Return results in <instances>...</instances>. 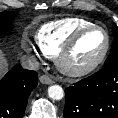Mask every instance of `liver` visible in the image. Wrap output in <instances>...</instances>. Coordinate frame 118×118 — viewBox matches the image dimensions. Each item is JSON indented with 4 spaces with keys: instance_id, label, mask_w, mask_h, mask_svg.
I'll return each instance as SVG.
<instances>
[{
    "instance_id": "1",
    "label": "liver",
    "mask_w": 118,
    "mask_h": 118,
    "mask_svg": "<svg viewBox=\"0 0 118 118\" xmlns=\"http://www.w3.org/2000/svg\"><path fill=\"white\" fill-rule=\"evenodd\" d=\"M8 71V62L3 52L0 50V79Z\"/></svg>"
}]
</instances>
